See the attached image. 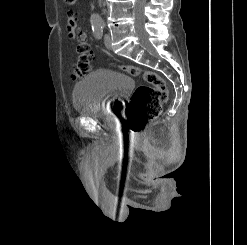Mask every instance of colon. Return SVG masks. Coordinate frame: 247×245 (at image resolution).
I'll use <instances>...</instances> for the list:
<instances>
[{
    "mask_svg": "<svg viewBox=\"0 0 247 245\" xmlns=\"http://www.w3.org/2000/svg\"><path fill=\"white\" fill-rule=\"evenodd\" d=\"M75 0H65L67 5L74 4ZM78 44L77 63L70 70V77L79 79L86 76L91 70L92 50L84 39L76 36ZM121 70L133 76H141L145 85L138 86L127 105L126 121L128 129L133 133L141 132L146 124L158 117L163 104L167 101L168 91L164 79L157 73L142 70L133 65H119Z\"/></svg>",
    "mask_w": 247,
    "mask_h": 245,
    "instance_id": "colon-1",
    "label": "colon"
}]
</instances>
